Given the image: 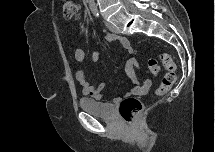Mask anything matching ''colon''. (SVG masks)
Here are the masks:
<instances>
[{"label":"colon","instance_id":"obj_1","mask_svg":"<svg viewBox=\"0 0 215 152\" xmlns=\"http://www.w3.org/2000/svg\"><path fill=\"white\" fill-rule=\"evenodd\" d=\"M77 4L73 0H63L62 11L65 18H72L77 12ZM160 60L166 69V74L162 78L160 85L156 90L157 95H164L170 91L177 79V66L173 59L167 53L160 55ZM148 67L153 76H158L160 73V65L155 59H149ZM143 108L142 101L137 97H126L122 100L119 106L120 116L127 122L131 123L141 112Z\"/></svg>","mask_w":215,"mask_h":152}]
</instances>
